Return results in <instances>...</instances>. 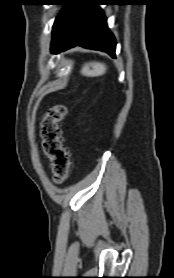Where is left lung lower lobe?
<instances>
[{
  "instance_id": "obj_1",
  "label": "left lung lower lobe",
  "mask_w": 174,
  "mask_h": 278,
  "mask_svg": "<svg viewBox=\"0 0 174 278\" xmlns=\"http://www.w3.org/2000/svg\"><path fill=\"white\" fill-rule=\"evenodd\" d=\"M108 0H78L67 35L52 53H59L77 45L107 52L115 58L116 41L109 31L106 18L98 5L107 4Z\"/></svg>"
}]
</instances>
